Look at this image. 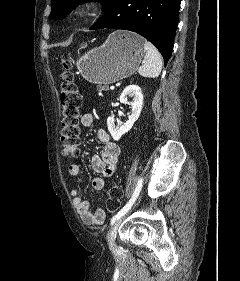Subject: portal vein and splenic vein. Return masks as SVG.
I'll return each instance as SVG.
<instances>
[{
    "mask_svg": "<svg viewBox=\"0 0 240 281\" xmlns=\"http://www.w3.org/2000/svg\"><path fill=\"white\" fill-rule=\"evenodd\" d=\"M114 89H115V86H111V87H110V90H114Z\"/></svg>",
    "mask_w": 240,
    "mask_h": 281,
    "instance_id": "18ae733b",
    "label": "portal vein and splenic vein"
}]
</instances>
